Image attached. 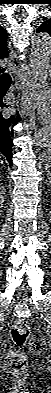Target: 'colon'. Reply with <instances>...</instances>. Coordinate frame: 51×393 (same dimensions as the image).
<instances>
[{
	"label": "colon",
	"instance_id": "colon-1",
	"mask_svg": "<svg viewBox=\"0 0 51 393\" xmlns=\"http://www.w3.org/2000/svg\"><path fill=\"white\" fill-rule=\"evenodd\" d=\"M30 336L29 324L24 319H18L11 328V338L14 344L23 347ZM46 343L42 338H33L30 341V351L34 356H43L46 353ZM26 356L20 350L11 351L6 363L15 370L22 369L26 365Z\"/></svg>",
	"mask_w": 51,
	"mask_h": 393
}]
</instances>
